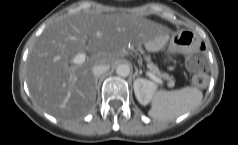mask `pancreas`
<instances>
[{
    "instance_id": "obj_1",
    "label": "pancreas",
    "mask_w": 238,
    "mask_h": 145,
    "mask_svg": "<svg viewBox=\"0 0 238 145\" xmlns=\"http://www.w3.org/2000/svg\"><path fill=\"white\" fill-rule=\"evenodd\" d=\"M139 51L144 54V51L139 48ZM145 60L147 61V67L150 70L151 73L156 74L157 76L166 79L169 81V86H173L174 85V80L172 79V77H170L168 74L163 73L159 70V68L151 61L150 56H145Z\"/></svg>"
}]
</instances>
